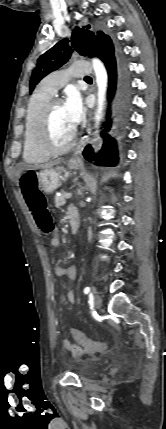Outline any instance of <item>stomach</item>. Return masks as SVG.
<instances>
[{
    "mask_svg": "<svg viewBox=\"0 0 166 429\" xmlns=\"http://www.w3.org/2000/svg\"><path fill=\"white\" fill-rule=\"evenodd\" d=\"M80 165V161H68V167L72 170L78 169ZM61 171L62 169L60 168H49L36 172V179L38 185L41 186V191L46 194H52L61 184Z\"/></svg>",
    "mask_w": 166,
    "mask_h": 429,
    "instance_id": "stomach-1",
    "label": "stomach"
}]
</instances>
